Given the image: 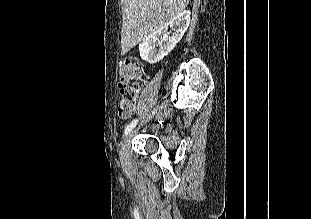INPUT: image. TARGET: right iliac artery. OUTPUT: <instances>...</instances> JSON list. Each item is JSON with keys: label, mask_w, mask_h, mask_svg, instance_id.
Here are the masks:
<instances>
[{"label": "right iliac artery", "mask_w": 311, "mask_h": 219, "mask_svg": "<svg viewBox=\"0 0 311 219\" xmlns=\"http://www.w3.org/2000/svg\"><path fill=\"white\" fill-rule=\"evenodd\" d=\"M137 122H138V120L135 119L129 125H127L125 132H124L125 136L136 126Z\"/></svg>", "instance_id": "82829eb1"}]
</instances>
